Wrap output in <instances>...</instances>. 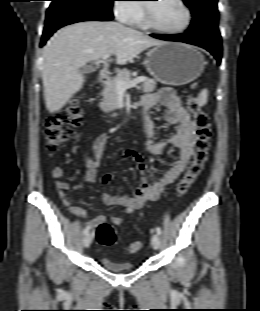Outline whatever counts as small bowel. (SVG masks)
Listing matches in <instances>:
<instances>
[{
	"mask_svg": "<svg viewBox=\"0 0 260 311\" xmlns=\"http://www.w3.org/2000/svg\"><path fill=\"white\" fill-rule=\"evenodd\" d=\"M142 132L145 137V146L142 150L127 149L120 155L121 160L132 159L137 163L140 171L139 183L132 195H109L102 194L101 201L105 206L118 205L123 207L126 215L133 214L147 200H156L163 190L172 184L188 166L196 141V127L189 113L181 104L179 97L170 88H163L158 92L146 95L142 102ZM157 105H162L167 109L164 122L167 125L177 126V130L166 140L155 141V125L148 116V111ZM108 141V135H100L93 144L92 151L96 154L95 158H86L85 180L92 182L96 179L102 158V150ZM168 146L176 147L179 156L174 164L163 174H161L153 184H149L146 171V156L161 154ZM65 169L61 166L52 170V178L55 181L59 192V197L69 210V212L81 219L86 217V211L79 206L71 204L72 198L66 191L70 185L63 179ZM111 174L105 173L101 181L107 184L111 180ZM105 221V215H99L88 221L87 226L95 228L99 223ZM112 222L119 225L123 222L121 215L112 217Z\"/></svg>",
	"mask_w": 260,
	"mask_h": 311,
	"instance_id": "c3829d8e",
	"label": "small bowel"
}]
</instances>
